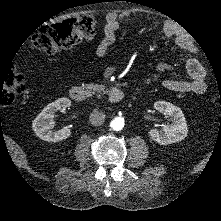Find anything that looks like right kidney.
<instances>
[{
	"label": "right kidney",
	"mask_w": 221,
	"mask_h": 221,
	"mask_svg": "<svg viewBox=\"0 0 221 221\" xmlns=\"http://www.w3.org/2000/svg\"><path fill=\"white\" fill-rule=\"evenodd\" d=\"M71 105L72 102L69 98L61 97L45 106L33 120V131L39 136V138L44 139L45 141L57 142L69 137L70 130L68 128L62 127L58 130H54L53 127L56 124L54 120L56 111L70 108Z\"/></svg>",
	"instance_id": "right-kidney-1"
}]
</instances>
